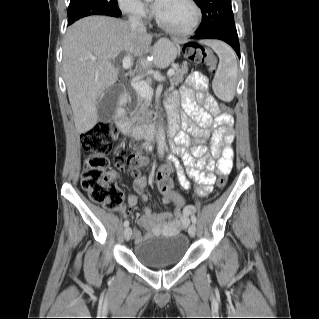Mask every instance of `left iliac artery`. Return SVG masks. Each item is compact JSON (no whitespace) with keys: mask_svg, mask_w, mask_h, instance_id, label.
Segmentation results:
<instances>
[{"mask_svg":"<svg viewBox=\"0 0 319 319\" xmlns=\"http://www.w3.org/2000/svg\"><path fill=\"white\" fill-rule=\"evenodd\" d=\"M191 221L193 224H196V216L194 214L191 216Z\"/></svg>","mask_w":319,"mask_h":319,"instance_id":"44dca946","label":"left iliac artery"}]
</instances>
